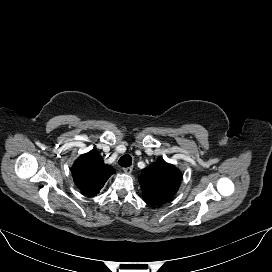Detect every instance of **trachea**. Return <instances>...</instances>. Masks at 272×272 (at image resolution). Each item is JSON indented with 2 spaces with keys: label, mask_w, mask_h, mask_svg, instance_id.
Here are the masks:
<instances>
[{
  "label": "trachea",
  "mask_w": 272,
  "mask_h": 272,
  "mask_svg": "<svg viewBox=\"0 0 272 272\" xmlns=\"http://www.w3.org/2000/svg\"><path fill=\"white\" fill-rule=\"evenodd\" d=\"M118 164L122 167H129L132 164V157L128 154L123 155L119 161Z\"/></svg>",
  "instance_id": "1"
}]
</instances>
